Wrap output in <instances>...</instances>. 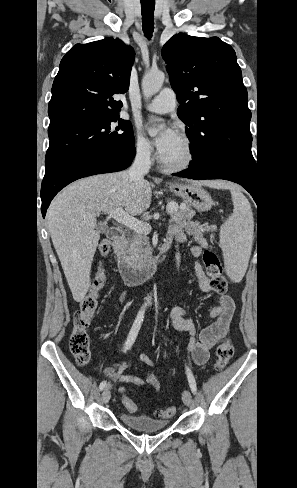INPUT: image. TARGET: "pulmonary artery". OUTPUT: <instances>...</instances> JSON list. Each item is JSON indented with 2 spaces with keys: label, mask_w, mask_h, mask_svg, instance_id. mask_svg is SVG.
I'll use <instances>...</instances> for the list:
<instances>
[{
  "label": "pulmonary artery",
  "mask_w": 297,
  "mask_h": 488,
  "mask_svg": "<svg viewBox=\"0 0 297 488\" xmlns=\"http://www.w3.org/2000/svg\"><path fill=\"white\" fill-rule=\"evenodd\" d=\"M176 107V96L172 89H163L150 103L145 105L149 111L165 114L171 112Z\"/></svg>",
  "instance_id": "e3ab8cb5"
}]
</instances>
